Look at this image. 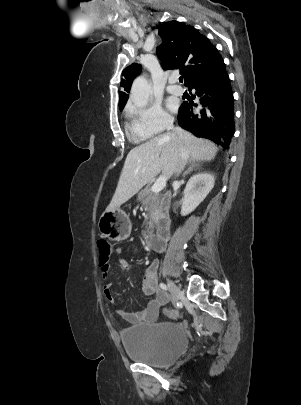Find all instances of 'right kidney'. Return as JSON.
<instances>
[{"label":"right kidney","mask_w":301,"mask_h":405,"mask_svg":"<svg viewBox=\"0 0 301 405\" xmlns=\"http://www.w3.org/2000/svg\"><path fill=\"white\" fill-rule=\"evenodd\" d=\"M214 184L215 178L210 173L201 172L193 175L183 191L181 215L186 216L193 212L213 189Z\"/></svg>","instance_id":"1"}]
</instances>
